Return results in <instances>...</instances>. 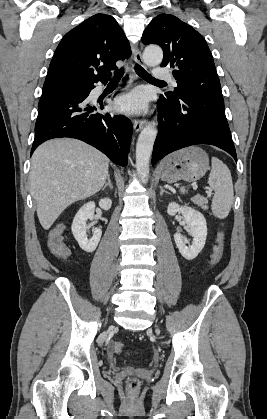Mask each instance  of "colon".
Returning <instances> with one entry per match:
<instances>
[{
	"label": "colon",
	"mask_w": 267,
	"mask_h": 419,
	"mask_svg": "<svg viewBox=\"0 0 267 419\" xmlns=\"http://www.w3.org/2000/svg\"><path fill=\"white\" fill-rule=\"evenodd\" d=\"M224 240L225 234L223 231H220L211 254V265H217L220 262L224 250ZM48 246L51 252L58 258L65 259L69 256V249L64 243L63 228L61 226H57L51 231L48 238ZM123 348L124 344L120 341H116L113 344V350L116 353L121 352ZM128 385L130 389L135 390L138 387V381L135 378H130L128 380Z\"/></svg>",
	"instance_id": "obj_1"
}]
</instances>
